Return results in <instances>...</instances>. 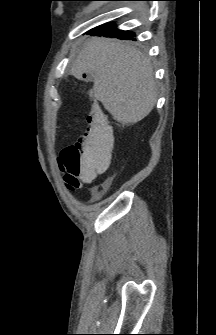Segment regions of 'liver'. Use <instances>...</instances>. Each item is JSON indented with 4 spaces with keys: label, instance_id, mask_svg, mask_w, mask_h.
<instances>
[{
    "label": "liver",
    "instance_id": "1",
    "mask_svg": "<svg viewBox=\"0 0 216 335\" xmlns=\"http://www.w3.org/2000/svg\"><path fill=\"white\" fill-rule=\"evenodd\" d=\"M83 73L92 75L95 98L123 125L141 121L156 104L151 62L122 41L88 39L71 67V74L77 79Z\"/></svg>",
    "mask_w": 216,
    "mask_h": 335
}]
</instances>
